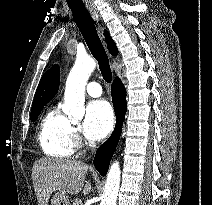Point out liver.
Returning <instances> with one entry per match:
<instances>
[{
	"instance_id": "liver-1",
	"label": "liver",
	"mask_w": 212,
	"mask_h": 205,
	"mask_svg": "<svg viewBox=\"0 0 212 205\" xmlns=\"http://www.w3.org/2000/svg\"><path fill=\"white\" fill-rule=\"evenodd\" d=\"M88 168L76 160H38L33 166L32 177L39 205H47L50 195L55 191L71 195L81 191L84 195L88 194L92 189L91 182L85 180Z\"/></svg>"
}]
</instances>
